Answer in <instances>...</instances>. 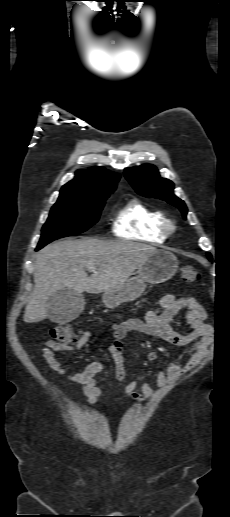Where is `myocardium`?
<instances>
[{
  "mask_svg": "<svg viewBox=\"0 0 230 517\" xmlns=\"http://www.w3.org/2000/svg\"><path fill=\"white\" fill-rule=\"evenodd\" d=\"M164 229L167 234H171L176 230V225L172 220L166 219L164 223Z\"/></svg>",
  "mask_w": 230,
  "mask_h": 517,
  "instance_id": "1",
  "label": "myocardium"
}]
</instances>
